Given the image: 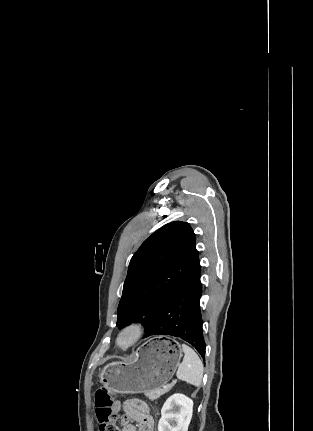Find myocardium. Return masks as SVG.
<instances>
[{
  "mask_svg": "<svg viewBox=\"0 0 313 431\" xmlns=\"http://www.w3.org/2000/svg\"><path fill=\"white\" fill-rule=\"evenodd\" d=\"M145 333L146 326L144 323L139 321L128 323L118 332L115 340L116 346L121 350L130 349L144 337ZM125 335H129L130 340L126 344H122L121 339Z\"/></svg>",
  "mask_w": 313,
  "mask_h": 431,
  "instance_id": "obj_1",
  "label": "myocardium"
}]
</instances>
